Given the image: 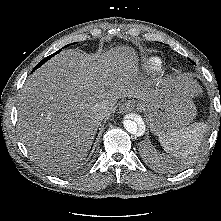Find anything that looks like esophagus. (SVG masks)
I'll return each instance as SVG.
<instances>
[{
  "label": "esophagus",
  "mask_w": 221,
  "mask_h": 221,
  "mask_svg": "<svg viewBox=\"0 0 221 221\" xmlns=\"http://www.w3.org/2000/svg\"><path fill=\"white\" fill-rule=\"evenodd\" d=\"M134 108V104L131 101L122 103L119 107V113L124 114L130 112Z\"/></svg>",
  "instance_id": "34e87169"
}]
</instances>
